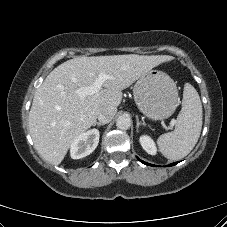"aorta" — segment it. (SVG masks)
<instances>
[{
    "instance_id": "1",
    "label": "aorta",
    "mask_w": 227,
    "mask_h": 227,
    "mask_svg": "<svg viewBox=\"0 0 227 227\" xmlns=\"http://www.w3.org/2000/svg\"><path fill=\"white\" fill-rule=\"evenodd\" d=\"M116 126L121 130H127L131 126V120L128 116H119L116 120Z\"/></svg>"
}]
</instances>
